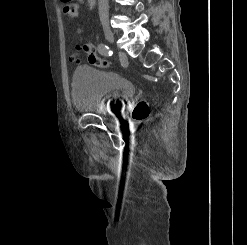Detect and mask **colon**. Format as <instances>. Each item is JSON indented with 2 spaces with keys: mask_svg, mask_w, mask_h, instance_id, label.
Segmentation results:
<instances>
[{
  "mask_svg": "<svg viewBox=\"0 0 247 245\" xmlns=\"http://www.w3.org/2000/svg\"><path fill=\"white\" fill-rule=\"evenodd\" d=\"M62 3L64 4L63 11L65 14L71 18H76L78 16V8L74 3L71 2V0H62ZM83 49L88 54V60L90 64L101 68L109 66V62L107 60L102 59L95 54L92 45L86 43L83 45ZM72 60L76 61V57L73 56ZM148 115L149 108L147 103L144 101L139 102L132 112V117L138 121L146 119Z\"/></svg>",
  "mask_w": 247,
  "mask_h": 245,
  "instance_id": "1",
  "label": "colon"
}]
</instances>
